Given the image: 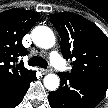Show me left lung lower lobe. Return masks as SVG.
<instances>
[{
    "label": "left lung lower lobe",
    "mask_w": 108,
    "mask_h": 108,
    "mask_svg": "<svg viewBox=\"0 0 108 108\" xmlns=\"http://www.w3.org/2000/svg\"><path fill=\"white\" fill-rule=\"evenodd\" d=\"M61 85L49 94L51 108H94L104 97L108 81L59 73Z\"/></svg>",
    "instance_id": "left-lung-lower-lobe-1"
}]
</instances>
